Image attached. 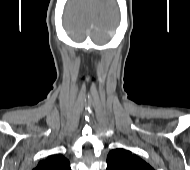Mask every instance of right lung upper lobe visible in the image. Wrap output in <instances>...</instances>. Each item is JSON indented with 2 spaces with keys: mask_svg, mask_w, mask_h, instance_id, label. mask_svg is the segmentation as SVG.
Wrapping results in <instances>:
<instances>
[{
  "mask_svg": "<svg viewBox=\"0 0 190 170\" xmlns=\"http://www.w3.org/2000/svg\"><path fill=\"white\" fill-rule=\"evenodd\" d=\"M33 170H71L69 161L62 155H51L38 163Z\"/></svg>",
  "mask_w": 190,
  "mask_h": 170,
  "instance_id": "cb5924a9",
  "label": "right lung upper lobe"
}]
</instances>
